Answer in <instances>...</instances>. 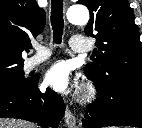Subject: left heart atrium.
Returning <instances> with one entry per match:
<instances>
[{"label":"left heart atrium","mask_w":142,"mask_h":128,"mask_svg":"<svg viewBox=\"0 0 142 128\" xmlns=\"http://www.w3.org/2000/svg\"><path fill=\"white\" fill-rule=\"evenodd\" d=\"M45 83L59 92H66L72 85L71 71L65 62L54 64L45 75Z\"/></svg>","instance_id":"1"}]
</instances>
